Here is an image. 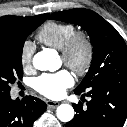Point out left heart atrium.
I'll use <instances>...</instances> for the list:
<instances>
[{
    "instance_id": "obj_1",
    "label": "left heart atrium",
    "mask_w": 127,
    "mask_h": 127,
    "mask_svg": "<svg viewBox=\"0 0 127 127\" xmlns=\"http://www.w3.org/2000/svg\"><path fill=\"white\" fill-rule=\"evenodd\" d=\"M74 83L72 74L67 70L56 73H46L34 80V88L40 94L57 99L64 95L65 90Z\"/></svg>"
}]
</instances>
